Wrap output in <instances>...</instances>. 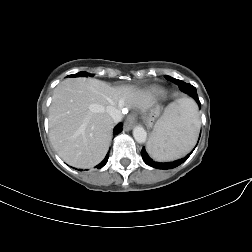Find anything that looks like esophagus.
I'll use <instances>...</instances> for the list:
<instances>
[{
  "instance_id": "obj_1",
  "label": "esophagus",
  "mask_w": 252,
  "mask_h": 252,
  "mask_svg": "<svg viewBox=\"0 0 252 252\" xmlns=\"http://www.w3.org/2000/svg\"><path fill=\"white\" fill-rule=\"evenodd\" d=\"M134 125V117L133 116H129L124 123V129L125 131H129L132 129Z\"/></svg>"
}]
</instances>
